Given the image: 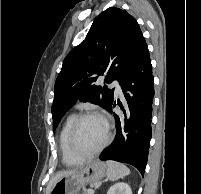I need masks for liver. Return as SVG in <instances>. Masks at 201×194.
Instances as JSON below:
<instances>
[{"mask_svg":"<svg viewBox=\"0 0 201 194\" xmlns=\"http://www.w3.org/2000/svg\"><path fill=\"white\" fill-rule=\"evenodd\" d=\"M75 171H77V169L74 170H68V171H61L59 173H57L49 182L48 187H47V194H49L50 190L52 189V187L54 186V184L62 177L72 174Z\"/></svg>","mask_w":201,"mask_h":194,"instance_id":"1","label":"liver"}]
</instances>
